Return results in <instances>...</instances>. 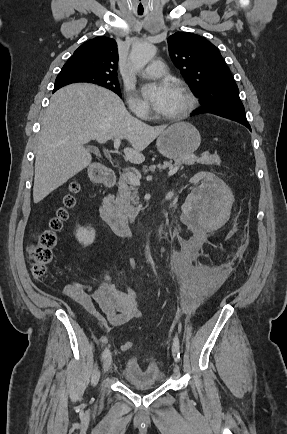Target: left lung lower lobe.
I'll use <instances>...</instances> for the list:
<instances>
[{"label":"left lung lower lobe","instance_id":"obj_1","mask_svg":"<svg viewBox=\"0 0 287 434\" xmlns=\"http://www.w3.org/2000/svg\"><path fill=\"white\" fill-rule=\"evenodd\" d=\"M203 113H212V114H215V115L227 118V119L234 120L236 122L243 124L249 130H251V127H250V125L246 119L245 109L239 110V109L222 108V109H218V110H210V109H206V108H200V109H197L196 111H194L192 113V115H198V114H203Z\"/></svg>","mask_w":287,"mask_h":434}]
</instances>
